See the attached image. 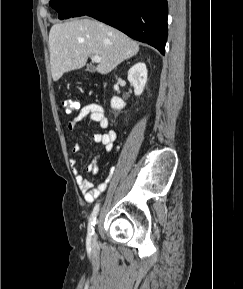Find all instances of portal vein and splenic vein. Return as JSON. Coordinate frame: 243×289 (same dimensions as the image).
I'll list each match as a JSON object with an SVG mask.
<instances>
[{
  "mask_svg": "<svg viewBox=\"0 0 243 289\" xmlns=\"http://www.w3.org/2000/svg\"><path fill=\"white\" fill-rule=\"evenodd\" d=\"M103 58L102 57H100V56H93V58H92V60L95 62V63H99V62H101V60H102Z\"/></svg>",
  "mask_w": 243,
  "mask_h": 289,
  "instance_id": "obj_1",
  "label": "portal vein and splenic vein"
}]
</instances>
